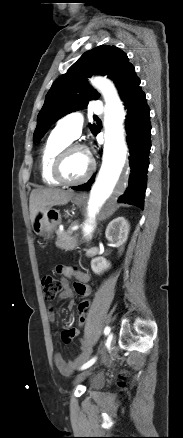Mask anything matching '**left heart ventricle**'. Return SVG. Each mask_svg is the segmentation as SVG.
Returning a JSON list of instances; mask_svg holds the SVG:
<instances>
[{
    "label": "left heart ventricle",
    "instance_id": "b2bd125f",
    "mask_svg": "<svg viewBox=\"0 0 183 438\" xmlns=\"http://www.w3.org/2000/svg\"><path fill=\"white\" fill-rule=\"evenodd\" d=\"M89 167V159L87 154L82 150H76L69 154L66 158L62 174L66 180L75 181L82 178Z\"/></svg>",
    "mask_w": 183,
    "mask_h": 438
}]
</instances>
